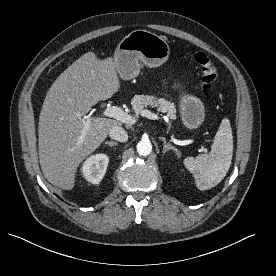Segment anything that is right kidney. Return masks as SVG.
<instances>
[{"instance_id":"ca27d5eb","label":"right kidney","mask_w":276,"mask_h":276,"mask_svg":"<svg viewBox=\"0 0 276 276\" xmlns=\"http://www.w3.org/2000/svg\"><path fill=\"white\" fill-rule=\"evenodd\" d=\"M108 162L109 157L104 153L90 156L82 166L84 178L92 184H99L106 172Z\"/></svg>"}]
</instances>
